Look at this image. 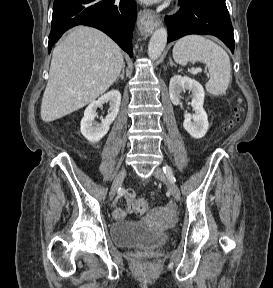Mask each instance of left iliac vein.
<instances>
[{
    "mask_svg": "<svg viewBox=\"0 0 273 288\" xmlns=\"http://www.w3.org/2000/svg\"><path fill=\"white\" fill-rule=\"evenodd\" d=\"M153 175L155 178L159 179L160 181L164 182L169 190L171 191L173 197L176 200H180L181 198V194H180V190L177 187V185L175 183H173V181H171L167 175L165 174V172L161 169V168H156L153 172Z\"/></svg>",
    "mask_w": 273,
    "mask_h": 288,
    "instance_id": "left-iliac-vein-1",
    "label": "left iliac vein"
}]
</instances>
